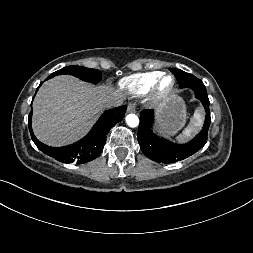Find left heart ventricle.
Instances as JSON below:
<instances>
[{"mask_svg": "<svg viewBox=\"0 0 253 253\" xmlns=\"http://www.w3.org/2000/svg\"><path fill=\"white\" fill-rule=\"evenodd\" d=\"M170 84H171V79L167 77L162 81L161 87L162 89H166L170 86Z\"/></svg>", "mask_w": 253, "mask_h": 253, "instance_id": "left-heart-ventricle-1", "label": "left heart ventricle"}]
</instances>
